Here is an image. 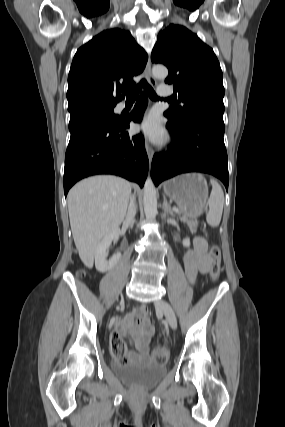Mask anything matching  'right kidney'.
Returning <instances> with one entry per match:
<instances>
[{"instance_id": "obj_1", "label": "right kidney", "mask_w": 285, "mask_h": 427, "mask_svg": "<svg viewBox=\"0 0 285 427\" xmlns=\"http://www.w3.org/2000/svg\"><path fill=\"white\" fill-rule=\"evenodd\" d=\"M120 230L116 229L107 234L97 245L95 250V267L99 272H107L112 269L121 259V253L115 254L107 261V250L112 242H116L119 238Z\"/></svg>"}]
</instances>
